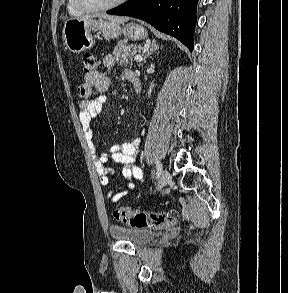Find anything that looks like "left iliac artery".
<instances>
[{"mask_svg": "<svg viewBox=\"0 0 288 293\" xmlns=\"http://www.w3.org/2000/svg\"><path fill=\"white\" fill-rule=\"evenodd\" d=\"M155 163H156V168H157L156 175H157V177H159L161 174V171H162V164L158 160H156Z\"/></svg>", "mask_w": 288, "mask_h": 293, "instance_id": "obj_1", "label": "left iliac artery"}]
</instances>
